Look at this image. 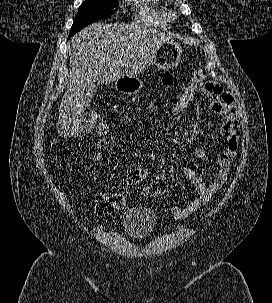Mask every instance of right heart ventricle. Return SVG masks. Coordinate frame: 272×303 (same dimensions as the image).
Returning a JSON list of instances; mask_svg holds the SVG:
<instances>
[{
  "mask_svg": "<svg viewBox=\"0 0 272 303\" xmlns=\"http://www.w3.org/2000/svg\"><path fill=\"white\" fill-rule=\"evenodd\" d=\"M137 18L142 24L147 26L164 27L167 23L165 14L155 8L149 0H143Z\"/></svg>",
  "mask_w": 272,
  "mask_h": 303,
  "instance_id": "right-heart-ventricle-1",
  "label": "right heart ventricle"
}]
</instances>
